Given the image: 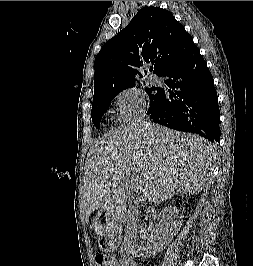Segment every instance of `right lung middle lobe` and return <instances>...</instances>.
I'll use <instances>...</instances> for the list:
<instances>
[{
  "label": "right lung middle lobe",
  "instance_id": "right-lung-middle-lobe-1",
  "mask_svg": "<svg viewBox=\"0 0 253 266\" xmlns=\"http://www.w3.org/2000/svg\"><path fill=\"white\" fill-rule=\"evenodd\" d=\"M156 90L157 92L155 94H150L151 91ZM160 89L158 88H145V91L147 92V94L149 95L150 98V108L159 100L160 97ZM119 92L121 91H117V92H112L109 93L101 98H99L98 100L94 101L92 104V111H91V115H92V121L94 123V125L97 128H100V121L102 116L104 115V113L106 112V109L108 108L110 102L113 100V98L115 97V95H117Z\"/></svg>",
  "mask_w": 253,
  "mask_h": 266
}]
</instances>
